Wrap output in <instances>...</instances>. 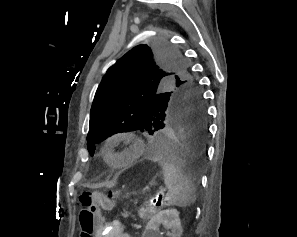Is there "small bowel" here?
<instances>
[{"instance_id": "obj_1", "label": "small bowel", "mask_w": 297, "mask_h": 237, "mask_svg": "<svg viewBox=\"0 0 297 237\" xmlns=\"http://www.w3.org/2000/svg\"><path fill=\"white\" fill-rule=\"evenodd\" d=\"M95 237H132L126 232L124 225L117 221H111L100 226Z\"/></svg>"}]
</instances>
